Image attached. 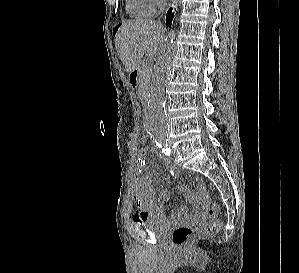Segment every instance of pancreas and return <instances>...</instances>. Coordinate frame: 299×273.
Masks as SVG:
<instances>
[{
  "mask_svg": "<svg viewBox=\"0 0 299 273\" xmlns=\"http://www.w3.org/2000/svg\"><path fill=\"white\" fill-rule=\"evenodd\" d=\"M139 70H140L139 91H144L149 85L152 69L149 64L143 61L140 64Z\"/></svg>",
  "mask_w": 299,
  "mask_h": 273,
  "instance_id": "pancreas-1",
  "label": "pancreas"
}]
</instances>
